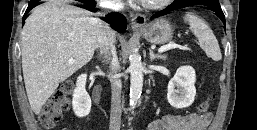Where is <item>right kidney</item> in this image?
<instances>
[{"mask_svg": "<svg viewBox=\"0 0 257 130\" xmlns=\"http://www.w3.org/2000/svg\"><path fill=\"white\" fill-rule=\"evenodd\" d=\"M86 79V74H82L77 78L72 99L73 111L80 118L87 116L91 110V98L85 89Z\"/></svg>", "mask_w": 257, "mask_h": 130, "instance_id": "1", "label": "right kidney"}]
</instances>
